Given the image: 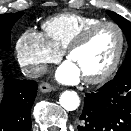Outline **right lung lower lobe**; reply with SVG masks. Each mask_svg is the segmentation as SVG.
Wrapping results in <instances>:
<instances>
[{
	"label": "right lung lower lobe",
	"mask_w": 131,
	"mask_h": 131,
	"mask_svg": "<svg viewBox=\"0 0 131 131\" xmlns=\"http://www.w3.org/2000/svg\"><path fill=\"white\" fill-rule=\"evenodd\" d=\"M38 84L33 80L6 78L4 96L0 103V131H30L31 107Z\"/></svg>",
	"instance_id": "1"
}]
</instances>
